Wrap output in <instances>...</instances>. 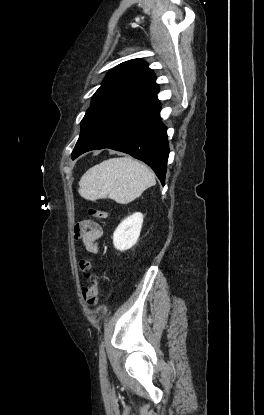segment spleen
Returning a JSON list of instances; mask_svg holds the SVG:
<instances>
[{"mask_svg": "<svg viewBox=\"0 0 264 415\" xmlns=\"http://www.w3.org/2000/svg\"><path fill=\"white\" fill-rule=\"evenodd\" d=\"M154 173L130 157L111 158L88 169L79 182V194L86 200L110 198L127 204L155 185Z\"/></svg>", "mask_w": 264, "mask_h": 415, "instance_id": "3e777b00", "label": "spleen"}]
</instances>
